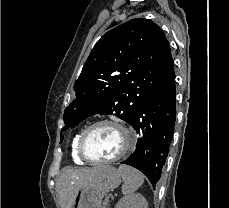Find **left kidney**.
<instances>
[{
    "label": "left kidney",
    "mask_w": 229,
    "mask_h": 208,
    "mask_svg": "<svg viewBox=\"0 0 229 208\" xmlns=\"http://www.w3.org/2000/svg\"><path fill=\"white\" fill-rule=\"evenodd\" d=\"M116 208H148V202L141 194H130L121 198Z\"/></svg>",
    "instance_id": "1"
}]
</instances>
